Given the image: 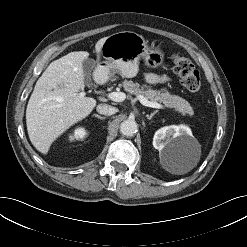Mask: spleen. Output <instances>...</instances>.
I'll list each match as a JSON object with an SVG mask.
<instances>
[{"instance_id": "obj_1", "label": "spleen", "mask_w": 247, "mask_h": 247, "mask_svg": "<svg viewBox=\"0 0 247 247\" xmlns=\"http://www.w3.org/2000/svg\"><path fill=\"white\" fill-rule=\"evenodd\" d=\"M187 171H189V170H181V171H178L177 173H178V174H183V173H185V172H187Z\"/></svg>"}]
</instances>
